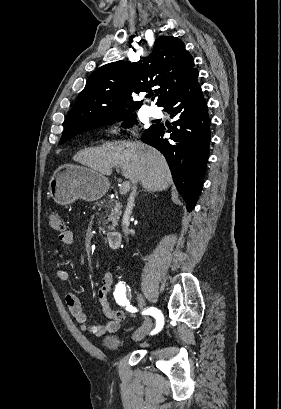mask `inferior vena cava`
Masks as SVG:
<instances>
[{
    "instance_id": "obj_1",
    "label": "inferior vena cava",
    "mask_w": 281,
    "mask_h": 409,
    "mask_svg": "<svg viewBox=\"0 0 281 409\" xmlns=\"http://www.w3.org/2000/svg\"><path fill=\"white\" fill-rule=\"evenodd\" d=\"M135 192H136V184H134L131 194H135ZM128 225H129L128 219H123V221H122V231H123L127 241H128V235H130V229H128Z\"/></svg>"
}]
</instances>
